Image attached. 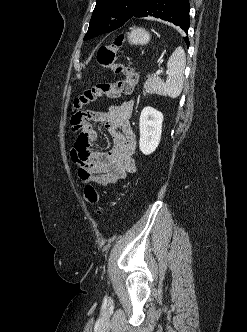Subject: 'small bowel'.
<instances>
[{
	"label": "small bowel",
	"mask_w": 247,
	"mask_h": 332,
	"mask_svg": "<svg viewBox=\"0 0 247 332\" xmlns=\"http://www.w3.org/2000/svg\"><path fill=\"white\" fill-rule=\"evenodd\" d=\"M133 102L112 105L106 112L88 111L83 114L74 147L73 161L78 166V176L83 183L109 188L137 169L133 155L136 136L130 124ZM101 122L113 141L108 152L95 148L97 132L88 120Z\"/></svg>",
	"instance_id": "1"
}]
</instances>
